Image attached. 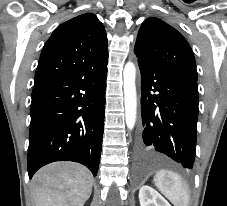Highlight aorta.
<instances>
[{
	"mask_svg": "<svg viewBox=\"0 0 227 206\" xmlns=\"http://www.w3.org/2000/svg\"><path fill=\"white\" fill-rule=\"evenodd\" d=\"M136 68L132 62L126 63L123 71L124 80V105L125 121L128 129L132 130L137 115V93H136Z\"/></svg>",
	"mask_w": 227,
	"mask_h": 206,
	"instance_id": "1",
	"label": "aorta"
}]
</instances>
